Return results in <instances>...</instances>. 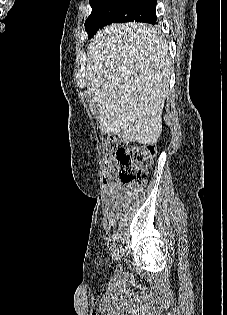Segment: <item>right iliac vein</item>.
Instances as JSON below:
<instances>
[{
    "label": "right iliac vein",
    "instance_id": "obj_1",
    "mask_svg": "<svg viewBox=\"0 0 227 315\" xmlns=\"http://www.w3.org/2000/svg\"><path fill=\"white\" fill-rule=\"evenodd\" d=\"M113 259L115 261H117L119 259V250L118 249H114V251H113Z\"/></svg>",
    "mask_w": 227,
    "mask_h": 315
}]
</instances>
